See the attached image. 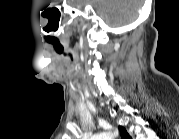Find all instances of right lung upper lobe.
Instances as JSON below:
<instances>
[{"label":"right lung upper lobe","instance_id":"cb5924a9","mask_svg":"<svg viewBox=\"0 0 179 139\" xmlns=\"http://www.w3.org/2000/svg\"><path fill=\"white\" fill-rule=\"evenodd\" d=\"M120 129V134H121V137L123 139H130L131 137L129 136V134L127 133V131L123 128V127H119Z\"/></svg>","mask_w":179,"mask_h":139}]
</instances>
